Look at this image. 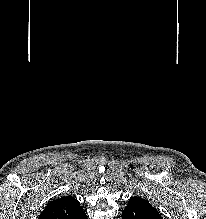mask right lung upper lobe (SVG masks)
Instances as JSON below:
<instances>
[{"mask_svg":"<svg viewBox=\"0 0 206 219\" xmlns=\"http://www.w3.org/2000/svg\"><path fill=\"white\" fill-rule=\"evenodd\" d=\"M38 219H87V215L78 200L68 195L51 201Z\"/></svg>","mask_w":206,"mask_h":219,"instance_id":"1","label":"right lung upper lobe"}]
</instances>
